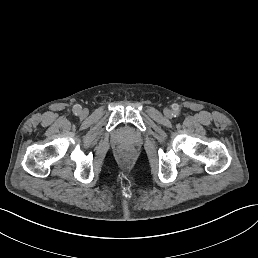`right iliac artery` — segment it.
<instances>
[{"mask_svg": "<svg viewBox=\"0 0 258 258\" xmlns=\"http://www.w3.org/2000/svg\"><path fill=\"white\" fill-rule=\"evenodd\" d=\"M81 106L79 104H76L73 106V113L74 115L78 116L81 114Z\"/></svg>", "mask_w": 258, "mask_h": 258, "instance_id": "right-iliac-artery-1", "label": "right iliac artery"}]
</instances>
